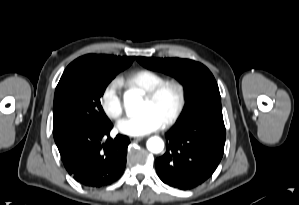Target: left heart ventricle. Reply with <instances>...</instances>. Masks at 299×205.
Segmentation results:
<instances>
[{
  "label": "left heart ventricle",
  "instance_id": "b2bd125f",
  "mask_svg": "<svg viewBox=\"0 0 299 205\" xmlns=\"http://www.w3.org/2000/svg\"><path fill=\"white\" fill-rule=\"evenodd\" d=\"M177 94L172 88L165 90L155 101L143 98L139 112L151 111L162 122L172 113L176 104Z\"/></svg>",
  "mask_w": 299,
  "mask_h": 205
}]
</instances>
